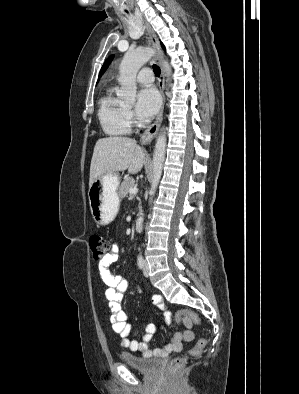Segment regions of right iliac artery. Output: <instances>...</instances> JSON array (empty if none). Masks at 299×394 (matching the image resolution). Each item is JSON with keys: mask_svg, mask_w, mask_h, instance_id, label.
I'll list each match as a JSON object with an SVG mask.
<instances>
[{"mask_svg": "<svg viewBox=\"0 0 299 394\" xmlns=\"http://www.w3.org/2000/svg\"><path fill=\"white\" fill-rule=\"evenodd\" d=\"M137 263H138L139 269L142 270L144 268V264H145L144 258L143 257H139Z\"/></svg>", "mask_w": 299, "mask_h": 394, "instance_id": "right-iliac-artery-1", "label": "right iliac artery"}]
</instances>
